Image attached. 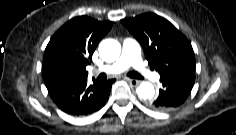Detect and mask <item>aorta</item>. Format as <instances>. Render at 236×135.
<instances>
[{
	"label": "aorta",
	"instance_id": "762f6f07",
	"mask_svg": "<svg viewBox=\"0 0 236 135\" xmlns=\"http://www.w3.org/2000/svg\"><path fill=\"white\" fill-rule=\"evenodd\" d=\"M99 54L106 62H114L121 54V45L114 39H105L99 44ZM138 97L151 100L155 95L154 86L150 82H142L136 89Z\"/></svg>",
	"mask_w": 236,
	"mask_h": 135
}]
</instances>
